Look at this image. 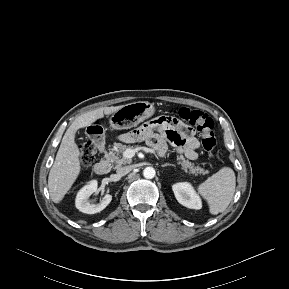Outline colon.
I'll return each mask as SVG.
<instances>
[{"instance_id": "1", "label": "colon", "mask_w": 289, "mask_h": 289, "mask_svg": "<svg viewBox=\"0 0 289 289\" xmlns=\"http://www.w3.org/2000/svg\"><path fill=\"white\" fill-rule=\"evenodd\" d=\"M179 118L194 126L200 134L201 145L207 155L212 158L216 146V139L213 132L214 122L210 116L203 111L191 108H181L178 111ZM95 146L91 141H85L80 145V161L87 166L92 163L95 156Z\"/></svg>"}]
</instances>
